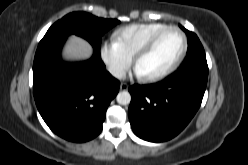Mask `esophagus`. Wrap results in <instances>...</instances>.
Instances as JSON below:
<instances>
[{"label": "esophagus", "mask_w": 248, "mask_h": 165, "mask_svg": "<svg viewBox=\"0 0 248 165\" xmlns=\"http://www.w3.org/2000/svg\"><path fill=\"white\" fill-rule=\"evenodd\" d=\"M129 85L127 83H121L120 84V90H127Z\"/></svg>", "instance_id": "obj_1"}]
</instances>
